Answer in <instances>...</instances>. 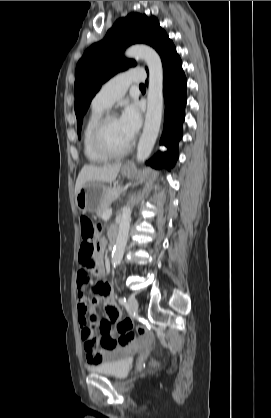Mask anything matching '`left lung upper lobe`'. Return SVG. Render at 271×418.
Listing matches in <instances>:
<instances>
[{
	"mask_svg": "<svg viewBox=\"0 0 271 418\" xmlns=\"http://www.w3.org/2000/svg\"><path fill=\"white\" fill-rule=\"evenodd\" d=\"M168 38L156 17L131 13L118 19L102 41L86 50L77 64L74 85L78 133L83 116L102 84L117 72L136 65L135 61L123 57L125 48L131 44L145 43L160 54Z\"/></svg>",
	"mask_w": 271,
	"mask_h": 418,
	"instance_id": "1",
	"label": "left lung upper lobe"
}]
</instances>
